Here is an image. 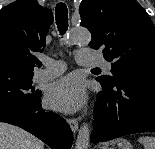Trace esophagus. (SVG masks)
I'll return each mask as SVG.
<instances>
[{
	"mask_svg": "<svg viewBox=\"0 0 155 149\" xmlns=\"http://www.w3.org/2000/svg\"><path fill=\"white\" fill-rule=\"evenodd\" d=\"M67 122L71 130L75 133L78 130V120L76 118H69Z\"/></svg>",
	"mask_w": 155,
	"mask_h": 149,
	"instance_id": "34e87169",
	"label": "esophagus"
}]
</instances>
